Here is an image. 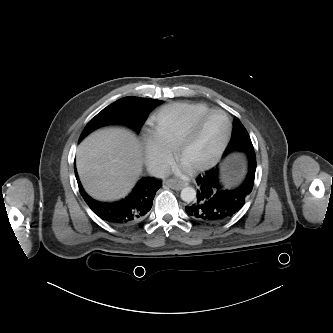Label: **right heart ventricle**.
Here are the masks:
<instances>
[{"label": "right heart ventricle", "mask_w": 333, "mask_h": 333, "mask_svg": "<svg viewBox=\"0 0 333 333\" xmlns=\"http://www.w3.org/2000/svg\"><path fill=\"white\" fill-rule=\"evenodd\" d=\"M210 109L208 105L199 102H176L166 105L152 117V133L172 150L189 125Z\"/></svg>", "instance_id": "1"}]
</instances>
